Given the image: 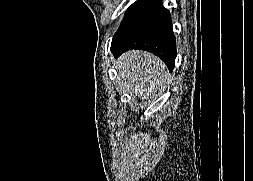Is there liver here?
<instances>
[{"mask_svg": "<svg viewBox=\"0 0 253 181\" xmlns=\"http://www.w3.org/2000/svg\"><path fill=\"white\" fill-rule=\"evenodd\" d=\"M122 86L142 99L156 96L169 81V73L159 58L145 51H129L117 61Z\"/></svg>", "mask_w": 253, "mask_h": 181, "instance_id": "obj_1", "label": "liver"}]
</instances>
